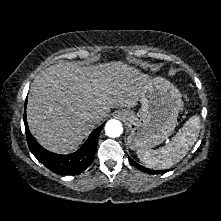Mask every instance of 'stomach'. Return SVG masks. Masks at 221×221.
I'll return each mask as SVG.
<instances>
[{"instance_id": "stomach-1", "label": "stomach", "mask_w": 221, "mask_h": 221, "mask_svg": "<svg viewBox=\"0 0 221 221\" xmlns=\"http://www.w3.org/2000/svg\"><path fill=\"white\" fill-rule=\"evenodd\" d=\"M138 113L122 110L121 117L130 134L132 150H147L164 142L174 131L182 108L179 90L163 78L150 79L143 85Z\"/></svg>"}]
</instances>
